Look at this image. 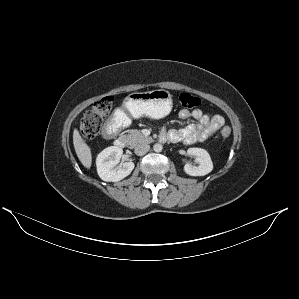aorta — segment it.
Returning a JSON list of instances; mask_svg holds the SVG:
<instances>
[{
	"instance_id": "1",
	"label": "aorta",
	"mask_w": 299,
	"mask_h": 299,
	"mask_svg": "<svg viewBox=\"0 0 299 299\" xmlns=\"http://www.w3.org/2000/svg\"><path fill=\"white\" fill-rule=\"evenodd\" d=\"M162 149H163V146H162L160 143H156V144H154V146H153V150H154L155 152H157V153L161 152Z\"/></svg>"
}]
</instances>
